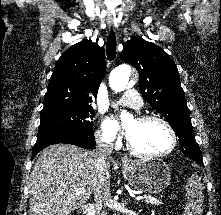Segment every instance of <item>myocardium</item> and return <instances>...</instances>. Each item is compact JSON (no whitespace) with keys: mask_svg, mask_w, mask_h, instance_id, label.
Returning <instances> with one entry per match:
<instances>
[{"mask_svg":"<svg viewBox=\"0 0 221 215\" xmlns=\"http://www.w3.org/2000/svg\"><path fill=\"white\" fill-rule=\"evenodd\" d=\"M137 121L139 122H148V121H158L160 123H162L165 128L167 129L169 135H170V146L162 151V152H158V153H143L138 151L129 141V139L127 138V142H126V147L128 149V151L130 153H132L133 155L140 157V158H147V159H152V158H159V157H163L166 156L170 153H172L176 146H177V135L176 132L174 130V128L172 127V125L163 117L159 116V115H154V114H146V115H140L136 118Z\"/></svg>","mask_w":221,"mask_h":215,"instance_id":"f54148a6","label":"myocardium"}]
</instances>
